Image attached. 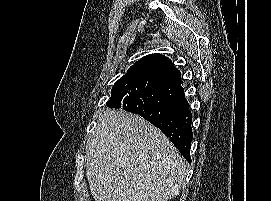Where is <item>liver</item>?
I'll return each mask as SVG.
<instances>
[{"label":"liver","mask_w":271,"mask_h":201,"mask_svg":"<svg viewBox=\"0 0 271 201\" xmlns=\"http://www.w3.org/2000/svg\"><path fill=\"white\" fill-rule=\"evenodd\" d=\"M185 161L155 126L123 110L97 120L86 153L95 201H168L179 195Z\"/></svg>","instance_id":"obj_1"}]
</instances>
